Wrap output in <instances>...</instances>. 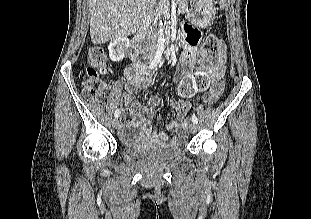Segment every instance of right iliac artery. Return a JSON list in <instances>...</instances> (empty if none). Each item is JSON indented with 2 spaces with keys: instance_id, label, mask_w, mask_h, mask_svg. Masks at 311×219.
<instances>
[{
  "instance_id": "82829eb1",
  "label": "right iliac artery",
  "mask_w": 311,
  "mask_h": 219,
  "mask_svg": "<svg viewBox=\"0 0 311 219\" xmlns=\"http://www.w3.org/2000/svg\"><path fill=\"white\" fill-rule=\"evenodd\" d=\"M161 56H162V50H157L154 59L152 60L151 64H150V68L155 67L161 60ZM120 115V110L117 109L114 113V116L116 118H118Z\"/></svg>"
}]
</instances>
